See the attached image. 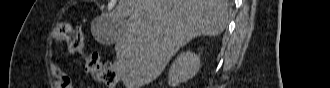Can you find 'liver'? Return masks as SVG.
<instances>
[{"mask_svg": "<svg viewBox=\"0 0 330 88\" xmlns=\"http://www.w3.org/2000/svg\"><path fill=\"white\" fill-rule=\"evenodd\" d=\"M106 18V42L115 43L123 84L139 88L156 79L193 38L222 33L228 1L119 0Z\"/></svg>", "mask_w": 330, "mask_h": 88, "instance_id": "liver-1", "label": "liver"}]
</instances>
